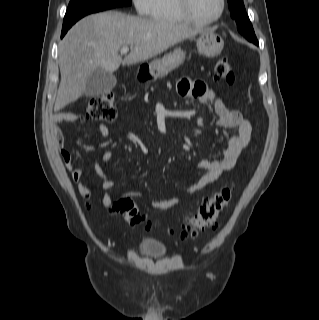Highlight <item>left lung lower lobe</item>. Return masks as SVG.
<instances>
[{
	"label": "left lung lower lobe",
	"instance_id": "obj_1",
	"mask_svg": "<svg viewBox=\"0 0 319 320\" xmlns=\"http://www.w3.org/2000/svg\"><path fill=\"white\" fill-rule=\"evenodd\" d=\"M246 39H247V38H246ZM247 40H249V41L253 42V43H254V44H256V45H258V41H257V39H256V40L247 39Z\"/></svg>",
	"mask_w": 319,
	"mask_h": 320
}]
</instances>
